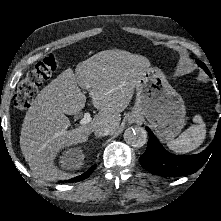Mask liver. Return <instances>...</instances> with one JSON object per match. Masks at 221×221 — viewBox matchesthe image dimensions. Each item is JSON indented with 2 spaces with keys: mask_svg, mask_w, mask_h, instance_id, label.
<instances>
[{
  "mask_svg": "<svg viewBox=\"0 0 221 221\" xmlns=\"http://www.w3.org/2000/svg\"><path fill=\"white\" fill-rule=\"evenodd\" d=\"M150 68L149 60L124 50H104L66 69L45 86L26 112L20 147L35 177L46 181L65 179L67 174L55 166L58 152L85 142L95 128L118 129L120 113L129 105L137 80ZM89 91L99 113L86 125L72 130L66 115L78 114Z\"/></svg>",
  "mask_w": 221,
  "mask_h": 221,
  "instance_id": "6515ba94",
  "label": "liver"
}]
</instances>
